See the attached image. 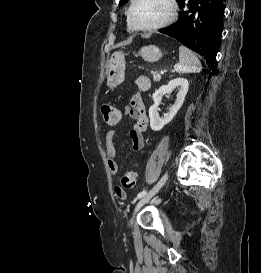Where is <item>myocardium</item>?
<instances>
[{
	"mask_svg": "<svg viewBox=\"0 0 261 273\" xmlns=\"http://www.w3.org/2000/svg\"><path fill=\"white\" fill-rule=\"evenodd\" d=\"M137 1L138 0H132L130 6L128 8V11H127L128 25L134 31H138V32L156 31V30H159V29H162V28H165V27L171 25L177 17L178 5L176 3V0H166V2L169 5V13L163 21H161L157 24L151 25V26L138 27L134 24V22L132 20V11H133V8H134L135 4L137 3Z\"/></svg>",
	"mask_w": 261,
	"mask_h": 273,
	"instance_id": "f54148a6",
	"label": "myocardium"
}]
</instances>
